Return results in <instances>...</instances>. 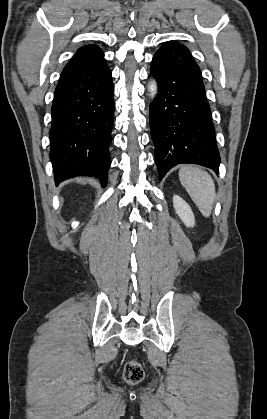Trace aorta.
Returning <instances> with one entry per match:
<instances>
[{"instance_id": "1", "label": "aorta", "mask_w": 267, "mask_h": 419, "mask_svg": "<svg viewBox=\"0 0 267 419\" xmlns=\"http://www.w3.org/2000/svg\"><path fill=\"white\" fill-rule=\"evenodd\" d=\"M147 89H148L149 95L152 98H155L156 95L158 94V83H157V81L155 79H151L150 82L148 83Z\"/></svg>"}]
</instances>
